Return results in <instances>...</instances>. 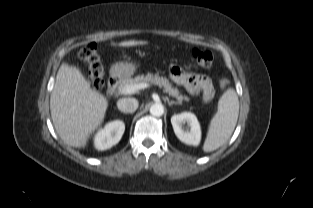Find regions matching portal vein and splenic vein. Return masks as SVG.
Segmentation results:
<instances>
[{"instance_id": "18ae733b", "label": "portal vein and splenic vein", "mask_w": 313, "mask_h": 208, "mask_svg": "<svg viewBox=\"0 0 313 208\" xmlns=\"http://www.w3.org/2000/svg\"><path fill=\"white\" fill-rule=\"evenodd\" d=\"M149 87V84L148 83H140V84H134V85H127L125 86L121 93L122 94H133L135 92H137L138 90H141V89H145Z\"/></svg>"}]
</instances>
